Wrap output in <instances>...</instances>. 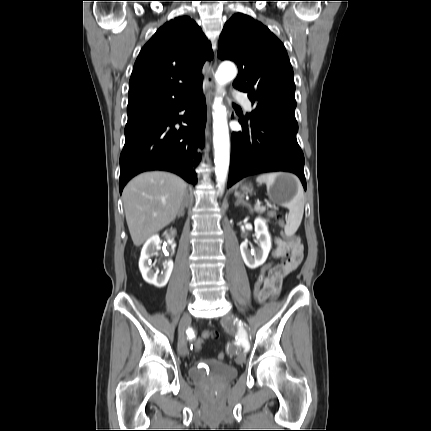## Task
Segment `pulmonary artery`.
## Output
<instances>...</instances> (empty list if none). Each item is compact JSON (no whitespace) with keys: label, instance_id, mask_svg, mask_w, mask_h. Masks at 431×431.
<instances>
[{"label":"pulmonary artery","instance_id":"pulmonary-artery-1","mask_svg":"<svg viewBox=\"0 0 431 431\" xmlns=\"http://www.w3.org/2000/svg\"><path fill=\"white\" fill-rule=\"evenodd\" d=\"M235 98L237 99V101H239L243 105V107L248 112L252 111L253 105H252L251 101L247 98V96H245L244 94H242L240 92H235Z\"/></svg>","mask_w":431,"mask_h":431}]
</instances>
